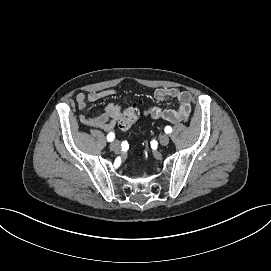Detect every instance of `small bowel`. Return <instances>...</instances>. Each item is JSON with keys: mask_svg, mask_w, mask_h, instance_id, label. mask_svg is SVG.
<instances>
[{"mask_svg": "<svg viewBox=\"0 0 271 271\" xmlns=\"http://www.w3.org/2000/svg\"><path fill=\"white\" fill-rule=\"evenodd\" d=\"M115 93L116 91L114 89H105L89 93L81 92L77 94L76 102L80 110H85L89 102L112 96ZM154 98L158 102L176 100L178 107L176 109H164L160 106L153 105L145 111V116L151 119H162L171 123L183 122L189 118L192 109V95L190 92L178 88H158L154 92ZM120 117V105L109 103L106 106L105 112L100 116L86 117L81 115L80 120L90 128L113 131Z\"/></svg>", "mask_w": 271, "mask_h": 271, "instance_id": "c3829d8e", "label": "small bowel"}]
</instances>
